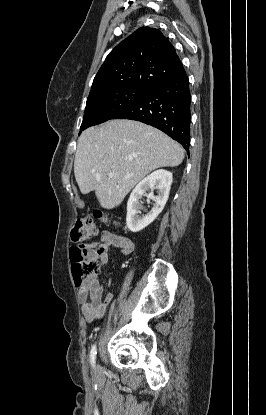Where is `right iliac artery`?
<instances>
[{"instance_id": "obj_1", "label": "right iliac artery", "mask_w": 266, "mask_h": 415, "mask_svg": "<svg viewBox=\"0 0 266 415\" xmlns=\"http://www.w3.org/2000/svg\"><path fill=\"white\" fill-rule=\"evenodd\" d=\"M96 353H97V349H96V345L94 344L91 348V352H90V363L92 365V367H95V358H96Z\"/></svg>"}]
</instances>
